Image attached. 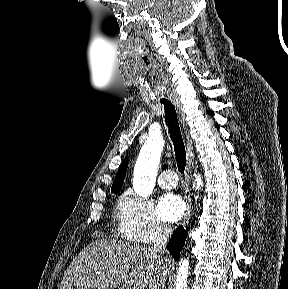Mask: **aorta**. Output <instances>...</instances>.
I'll list each match as a JSON object with an SVG mask.
<instances>
[{
	"instance_id": "1",
	"label": "aorta",
	"mask_w": 288,
	"mask_h": 289,
	"mask_svg": "<svg viewBox=\"0 0 288 289\" xmlns=\"http://www.w3.org/2000/svg\"><path fill=\"white\" fill-rule=\"evenodd\" d=\"M164 141L161 137H149L141 148L134 168L133 188L142 197L152 194L158 173V165ZM203 186L200 174L195 175L193 188L199 190ZM189 260L182 258L178 264L175 289H187Z\"/></svg>"
}]
</instances>
